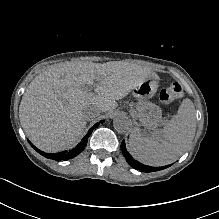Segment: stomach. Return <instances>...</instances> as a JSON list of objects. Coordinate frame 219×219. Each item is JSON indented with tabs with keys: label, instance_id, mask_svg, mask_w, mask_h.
<instances>
[{
	"label": "stomach",
	"instance_id": "stomach-1",
	"mask_svg": "<svg viewBox=\"0 0 219 219\" xmlns=\"http://www.w3.org/2000/svg\"><path fill=\"white\" fill-rule=\"evenodd\" d=\"M158 89V82L145 80L133 89V95L137 100L136 109L142 126L147 129H156L162 122V111L159 106L150 102Z\"/></svg>",
	"mask_w": 219,
	"mask_h": 219
}]
</instances>
